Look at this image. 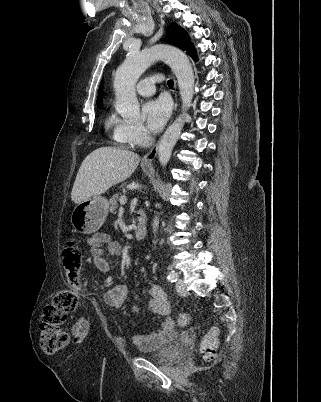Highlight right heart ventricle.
Returning <instances> with one entry per match:
<instances>
[{"label":"right heart ventricle","mask_w":321,"mask_h":402,"mask_svg":"<svg viewBox=\"0 0 321 402\" xmlns=\"http://www.w3.org/2000/svg\"><path fill=\"white\" fill-rule=\"evenodd\" d=\"M106 127L117 145L121 147L133 145L130 139L131 124L129 122L114 114H109L106 119Z\"/></svg>","instance_id":"1"}]
</instances>
